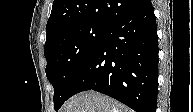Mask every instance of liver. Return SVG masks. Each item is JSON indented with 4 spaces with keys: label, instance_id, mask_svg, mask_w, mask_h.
I'll use <instances>...</instances> for the list:
<instances>
[{
    "label": "liver",
    "instance_id": "1",
    "mask_svg": "<svg viewBox=\"0 0 193 112\" xmlns=\"http://www.w3.org/2000/svg\"><path fill=\"white\" fill-rule=\"evenodd\" d=\"M62 112H132L114 99L95 91L81 92L70 98Z\"/></svg>",
    "mask_w": 193,
    "mask_h": 112
}]
</instances>
